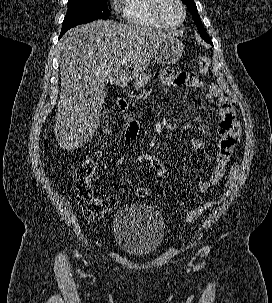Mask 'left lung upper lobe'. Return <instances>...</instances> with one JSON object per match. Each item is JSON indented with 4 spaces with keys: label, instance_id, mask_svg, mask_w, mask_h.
I'll list each match as a JSON object with an SVG mask.
<instances>
[{
    "label": "left lung upper lobe",
    "instance_id": "5c2ea615",
    "mask_svg": "<svg viewBox=\"0 0 272 303\" xmlns=\"http://www.w3.org/2000/svg\"><path fill=\"white\" fill-rule=\"evenodd\" d=\"M183 2L187 5L189 12L192 14L193 20L196 23L201 38L204 39L206 42L210 43L211 39L209 38L208 34L204 29L194 0H183Z\"/></svg>",
    "mask_w": 272,
    "mask_h": 303
}]
</instances>
